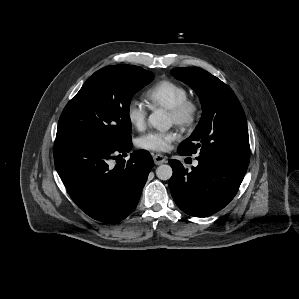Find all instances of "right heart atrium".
<instances>
[{
    "label": "right heart atrium",
    "mask_w": 299,
    "mask_h": 299,
    "mask_svg": "<svg viewBox=\"0 0 299 299\" xmlns=\"http://www.w3.org/2000/svg\"><path fill=\"white\" fill-rule=\"evenodd\" d=\"M126 118L136 130H143L147 124V110L137 99H130L126 105Z\"/></svg>",
    "instance_id": "obj_1"
}]
</instances>
